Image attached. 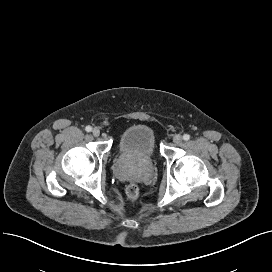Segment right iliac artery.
Returning <instances> with one entry per match:
<instances>
[{
	"label": "right iliac artery",
	"mask_w": 272,
	"mask_h": 272,
	"mask_svg": "<svg viewBox=\"0 0 272 272\" xmlns=\"http://www.w3.org/2000/svg\"><path fill=\"white\" fill-rule=\"evenodd\" d=\"M85 130H86L87 132H91L92 127H91V126H87V127L85 128Z\"/></svg>",
	"instance_id": "1"
}]
</instances>
